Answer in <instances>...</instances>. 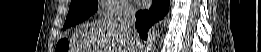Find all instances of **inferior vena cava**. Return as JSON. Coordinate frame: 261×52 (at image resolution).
Wrapping results in <instances>:
<instances>
[{
	"label": "inferior vena cava",
	"mask_w": 261,
	"mask_h": 52,
	"mask_svg": "<svg viewBox=\"0 0 261 52\" xmlns=\"http://www.w3.org/2000/svg\"><path fill=\"white\" fill-rule=\"evenodd\" d=\"M118 24L132 40V48L135 49L133 31L135 29L136 8L129 2H123L117 17ZM134 51V50H133Z\"/></svg>",
	"instance_id": "obj_1"
}]
</instances>
